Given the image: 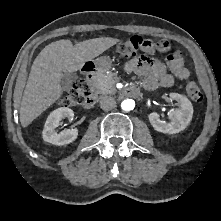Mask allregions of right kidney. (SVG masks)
Returning a JSON list of instances; mask_svg holds the SVG:
<instances>
[{"mask_svg": "<svg viewBox=\"0 0 221 221\" xmlns=\"http://www.w3.org/2000/svg\"><path fill=\"white\" fill-rule=\"evenodd\" d=\"M74 113L71 109L67 107H61L50 113L48 116L44 129H43V139L54 145H65L73 142L78 137L77 129H66L61 132L56 131L59 122L64 118H73Z\"/></svg>", "mask_w": 221, "mask_h": 221, "instance_id": "obj_1", "label": "right kidney"}]
</instances>
